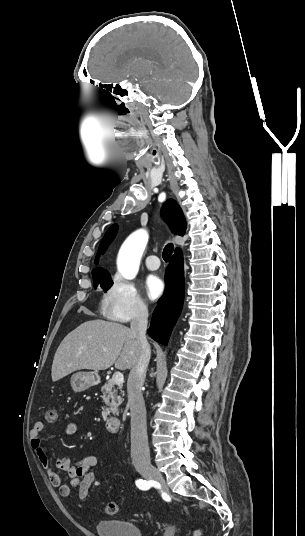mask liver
I'll return each instance as SVG.
<instances>
[{
    "instance_id": "1",
    "label": "liver",
    "mask_w": 305,
    "mask_h": 536,
    "mask_svg": "<svg viewBox=\"0 0 305 536\" xmlns=\"http://www.w3.org/2000/svg\"><path fill=\"white\" fill-rule=\"evenodd\" d=\"M140 354L141 344L127 326L104 320L84 322L61 342L52 364V382L76 370H107L113 364L117 370H131Z\"/></svg>"
}]
</instances>
